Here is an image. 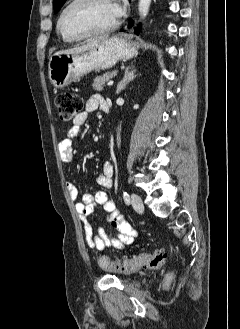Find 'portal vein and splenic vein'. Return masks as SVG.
Segmentation results:
<instances>
[{"label": "portal vein and splenic vein", "mask_w": 240, "mask_h": 329, "mask_svg": "<svg viewBox=\"0 0 240 329\" xmlns=\"http://www.w3.org/2000/svg\"><path fill=\"white\" fill-rule=\"evenodd\" d=\"M113 83H114V81H112V80H111V81H109V82H108V84H107V85H108V86H112V85H113Z\"/></svg>", "instance_id": "18ae733b"}]
</instances>
